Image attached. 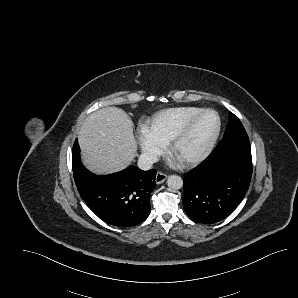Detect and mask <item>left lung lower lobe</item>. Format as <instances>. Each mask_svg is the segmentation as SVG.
I'll return each mask as SVG.
<instances>
[{
	"mask_svg": "<svg viewBox=\"0 0 298 298\" xmlns=\"http://www.w3.org/2000/svg\"><path fill=\"white\" fill-rule=\"evenodd\" d=\"M252 175L251 147L246 131L224 135L200 165L184 174L183 207L203 224L223 220L245 196Z\"/></svg>",
	"mask_w": 298,
	"mask_h": 298,
	"instance_id": "obj_1",
	"label": "left lung lower lobe"
}]
</instances>
